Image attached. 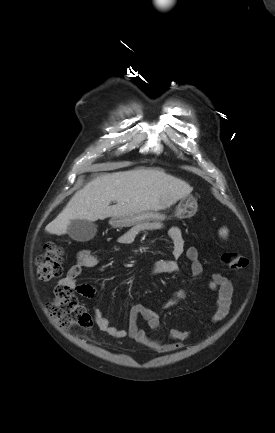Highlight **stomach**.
<instances>
[{"mask_svg":"<svg viewBox=\"0 0 275 433\" xmlns=\"http://www.w3.org/2000/svg\"><path fill=\"white\" fill-rule=\"evenodd\" d=\"M173 202L162 205L158 210L144 211L132 215L112 217L109 221L110 225L114 228L129 227L139 223H148L151 221H163L166 216L159 212L164 210L168 206L172 205ZM198 204L194 197L186 196L183 197L177 206L174 216L179 219H187L194 216L197 212Z\"/></svg>","mask_w":275,"mask_h":433,"instance_id":"1","label":"stomach"}]
</instances>
